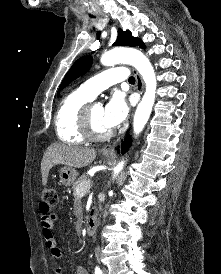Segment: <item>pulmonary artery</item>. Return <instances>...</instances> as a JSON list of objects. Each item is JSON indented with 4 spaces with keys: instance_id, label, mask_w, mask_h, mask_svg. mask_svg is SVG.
Instances as JSON below:
<instances>
[{
    "instance_id": "obj_1",
    "label": "pulmonary artery",
    "mask_w": 221,
    "mask_h": 274,
    "mask_svg": "<svg viewBox=\"0 0 221 274\" xmlns=\"http://www.w3.org/2000/svg\"><path fill=\"white\" fill-rule=\"evenodd\" d=\"M128 76L129 72L124 67L111 68L88 79L81 85L80 88L94 98L101 91L118 82L126 80Z\"/></svg>"
}]
</instances>
